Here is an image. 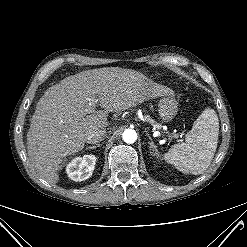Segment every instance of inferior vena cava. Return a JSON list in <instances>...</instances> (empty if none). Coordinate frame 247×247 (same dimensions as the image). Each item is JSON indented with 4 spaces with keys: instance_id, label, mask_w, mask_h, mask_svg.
<instances>
[{
    "instance_id": "1",
    "label": "inferior vena cava",
    "mask_w": 247,
    "mask_h": 247,
    "mask_svg": "<svg viewBox=\"0 0 247 247\" xmlns=\"http://www.w3.org/2000/svg\"><path fill=\"white\" fill-rule=\"evenodd\" d=\"M106 136V131L105 129H98L93 132H91L87 138L86 142L90 144H96L101 142Z\"/></svg>"
}]
</instances>
